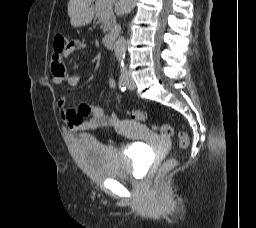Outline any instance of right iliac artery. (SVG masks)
Instances as JSON below:
<instances>
[{
    "instance_id": "obj_1",
    "label": "right iliac artery",
    "mask_w": 256,
    "mask_h": 228,
    "mask_svg": "<svg viewBox=\"0 0 256 228\" xmlns=\"http://www.w3.org/2000/svg\"><path fill=\"white\" fill-rule=\"evenodd\" d=\"M126 87H127L126 70H125V68L122 66V67H121V74H120V77H119V88H120L122 91H125V90H126Z\"/></svg>"
}]
</instances>
